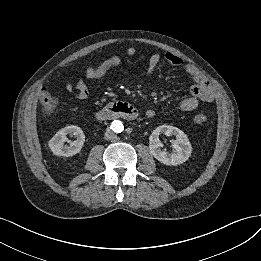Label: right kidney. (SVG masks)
Here are the masks:
<instances>
[{
    "label": "right kidney",
    "mask_w": 261,
    "mask_h": 261,
    "mask_svg": "<svg viewBox=\"0 0 261 261\" xmlns=\"http://www.w3.org/2000/svg\"><path fill=\"white\" fill-rule=\"evenodd\" d=\"M67 135L74 136L76 140L68 141ZM65 142H70L69 145H64ZM85 142V135L78 126H66L59 130L48 142V146L54 155L71 157L79 153Z\"/></svg>",
    "instance_id": "ca27d5eb"
}]
</instances>
